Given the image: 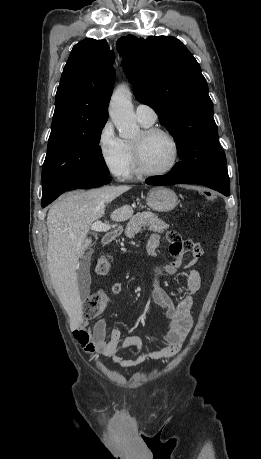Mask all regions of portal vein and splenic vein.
<instances>
[{
  "instance_id": "obj_1",
  "label": "portal vein and splenic vein",
  "mask_w": 261,
  "mask_h": 459,
  "mask_svg": "<svg viewBox=\"0 0 261 459\" xmlns=\"http://www.w3.org/2000/svg\"><path fill=\"white\" fill-rule=\"evenodd\" d=\"M111 229L109 224H105L101 221H96L91 225V230L94 232H106Z\"/></svg>"
}]
</instances>
